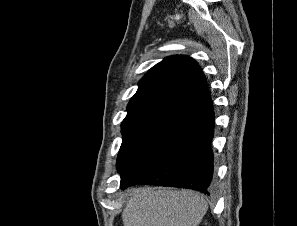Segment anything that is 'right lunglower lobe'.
<instances>
[{"mask_svg": "<svg viewBox=\"0 0 297 226\" xmlns=\"http://www.w3.org/2000/svg\"><path fill=\"white\" fill-rule=\"evenodd\" d=\"M214 110L211 98L171 117L155 135L120 188L138 184L193 189L210 195Z\"/></svg>", "mask_w": 297, "mask_h": 226, "instance_id": "right-lung-lower-lobe-1", "label": "right lung lower lobe"}]
</instances>
